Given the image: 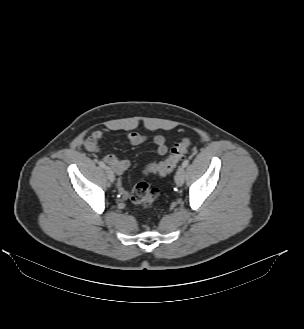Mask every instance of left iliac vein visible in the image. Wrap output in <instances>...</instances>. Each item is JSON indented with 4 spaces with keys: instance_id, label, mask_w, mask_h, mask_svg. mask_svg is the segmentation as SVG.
Returning a JSON list of instances; mask_svg holds the SVG:
<instances>
[{
    "instance_id": "obj_1",
    "label": "left iliac vein",
    "mask_w": 304,
    "mask_h": 329,
    "mask_svg": "<svg viewBox=\"0 0 304 329\" xmlns=\"http://www.w3.org/2000/svg\"><path fill=\"white\" fill-rule=\"evenodd\" d=\"M185 170L183 166H180L175 174V182L178 186H181L184 183Z\"/></svg>"
}]
</instances>
